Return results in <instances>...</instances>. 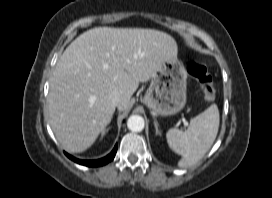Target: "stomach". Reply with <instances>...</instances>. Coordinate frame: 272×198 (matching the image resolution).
<instances>
[{
	"mask_svg": "<svg viewBox=\"0 0 272 198\" xmlns=\"http://www.w3.org/2000/svg\"><path fill=\"white\" fill-rule=\"evenodd\" d=\"M186 80L187 72L177 58L165 60L151 77L144 103L160 116L176 114L186 104Z\"/></svg>",
	"mask_w": 272,
	"mask_h": 198,
	"instance_id": "0dacf381",
	"label": "stomach"
}]
</instances>
